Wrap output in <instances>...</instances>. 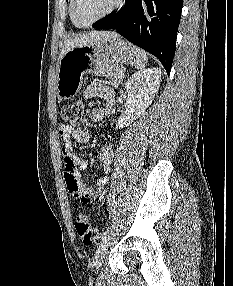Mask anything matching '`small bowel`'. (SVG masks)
<instances>
[{"instance_id":"obj_1","label":"small bowel","mask_w":233,"mask_h":286,"mask_svg":"<svg viewBox=\"0 0 233 286\" xmlns=\"http://www.w3.org/2000/svg\"><path fill=\"white\" fill-rule=\"evenodd\" d=\"M99 97L104 99V105L92 110L90 118L93 122L102 121L115 112V93L112 87L99 83H90L85 91L84 98ZM59 135L62 142L64 157V177L70 194L81 202L100 201L105 195V185L109 180V172L113 160V150L110 144H105L99 151V162L102 176L95 185H90L82 180L79 171L87 167V161L76 155L73 151V142L86 143L90 140V133L83 129L61 124Z\"/></svg>"}]
</instances>
